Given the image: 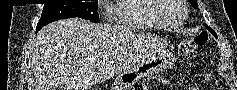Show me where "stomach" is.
Wrapping results in <instances>:
<instances>
[{"mask_svg": "<svg viewBox=\"0 0 237 90\" xmlns=\"http://www.w3.org/2000/svg\"><path fill=\"white\" fill-rule=\"evenodd\" d=\"M172 62V56L167 53L141 61L120 72L111 90H131L140 80L167 70Z\"/></svg>", "mask_w": 237, "mask_h": 90, "instance_id": "obj_1", "label": "stomach"}]
</instances>
